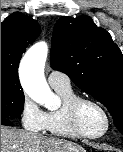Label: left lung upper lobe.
Returning <instances> with one entry per match:
<instances>
[{"label":"left lung upper lobe","mask_w":123,"mask_h":152,"mask_svg":"<svg viewBox=\"0 0 123 152\" xmlns=\"http://www.w3.org/2000/svg\"><path fill=\"white\" fill-rule=\"evenodd\" d=\"M51 66L101 102L123 133V55L92 19L61 17L52 37Z\"/></svg>","instance_id":"left-lung-upper-lobe-1"}]
</instances>
